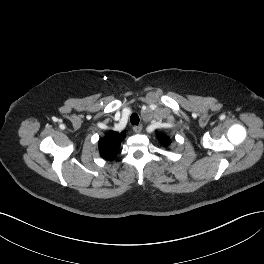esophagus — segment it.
Wrapping results in <instances>:
<instances>
[{"label": "esophagus", "instance_id": "esophagus-1", "mask_svg": "<svg viewBox=\"0 0 264 264\" xmlns=\"http://www.w3.org/2000/svg\"><path fill=\"white\" fill-rule=\"evenodd\" d=\"M142 125L134 126L133 130L135 133H140L142 131Z\"/></svg>", "mask_w": 264, "mask_h": 264}]
</instances>
